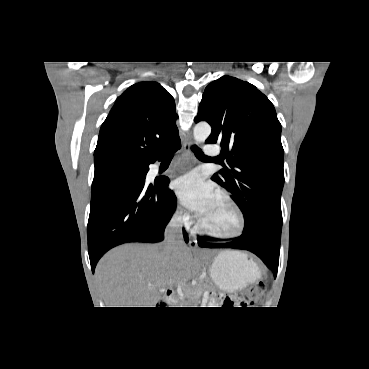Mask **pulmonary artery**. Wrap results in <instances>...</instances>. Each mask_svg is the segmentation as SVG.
<instances>
[{"mask_svg":"<svg viewBox=\"0 0 369 369\" xmlns=\"http://www.w3.org/2000/svg\"><path fill=\"white\" fill-rule=\"evenodd\" d=\"M205 155L217 156L219 154V148L216 145L208 144L204 148Z\"/></svg>","mask_w":369,"mask_h":369,"instance_id":"e3ab8cb5","label":"pulmonary artery"}]
</instances>
